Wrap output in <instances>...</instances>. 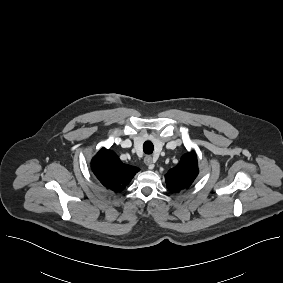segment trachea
I'll list each match as a JSON object with an SVG mask.
<instances>
[{
    "instance_id": "trachea-1",
    "label": "trachea",
    "mask_w": 283,
    "mask_h": 283,
    "mask_svg": "<svg viewBox=\"0 0 283 283\" xmlns=\"http://www.w3.org/2000/svg\"><path fill=\"white\" fill-rule=\"evenodd\" d=\"M154 150L153 143L151 141H146L143 144V151L145 154H152Z\"/></svg>"
}]
</instances>
